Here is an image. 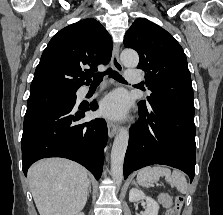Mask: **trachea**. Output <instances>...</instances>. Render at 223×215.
<instances>
[{
    "label": "trachea",
    "mask_w": 223,
    "mask_h": 215,
    "mask_svg": "<svg viewBox=\"0 0 223 215\" xmlns=\"http://www.w3.org/2000/svg\"><path fill=\"white\" fill-rule=\"evenodd\" d=\"M109 75L111 78H114V80H117V82L121 83H127L122 75H120L115 70H112L111 68L107 69L105 72H99L98 74L94 75V80L92 83H100L103 80L104 75Z\"/></svg>",
    "instance_id": "1"
}]
</instances>
